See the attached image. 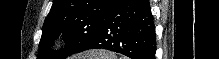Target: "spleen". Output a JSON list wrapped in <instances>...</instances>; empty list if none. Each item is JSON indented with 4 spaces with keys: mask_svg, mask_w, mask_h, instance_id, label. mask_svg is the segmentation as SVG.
I'll use <instances>...</instances> for the list:
<instances>
[{
    "mask_svg": "<svg viewBox=\"0 0 219 59\" xmlns=\"http://www.w3.org/2000/svg\"><path fill=\"white\" fill-rule=\"evenodd\" d=\"M85 56L90 57V59H108L105 54L93 55L92 52L87 53Z\"/></svg>",
    "mask_w": 219,
    "mask_h": 59,
    "instance_id": "1",
    "label": "spleen"
}]
</instances>
